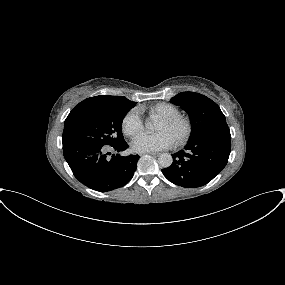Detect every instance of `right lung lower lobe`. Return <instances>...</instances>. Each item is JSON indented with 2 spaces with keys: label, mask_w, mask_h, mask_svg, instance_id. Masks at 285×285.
I'll list each match as a JSON object with an SVG mask.
<instances>
[{
  "label": "right lung lower lobe",
  "mask_w": 285,
  "mask_h": 285,
  "mask_svg": "<svg viewBox=\"0 0 285 285\" xmlns=\"http://www.w3.org/2000/svg\"><path fill=\"white\" fill-rule=\"evenodd\" d=\"M124 141L115 146L74 144L63 146V155L74 176L85 186L100 192L112 191L127 184L137 168L139 155H110L124 151Z\"/></svg>",
  "instance_id": "98d812e1"
}]
</instances>
